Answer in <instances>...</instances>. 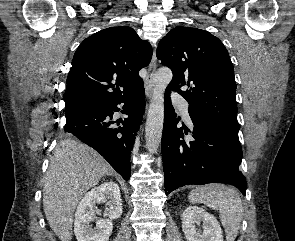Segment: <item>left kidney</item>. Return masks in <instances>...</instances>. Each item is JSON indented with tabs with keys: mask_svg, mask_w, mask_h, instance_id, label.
<instances>
[{
	"mask_svg": "<svg viewBox=\"0 0 295 241\" xmlns=\"http://www.w3.org/2000/svg\"><path fill=\"white\" fill-rule=\"evenodd\" d=\"M202 223V230L196 225ZM182 230L187 241H223L219 222L212 215L198 206H189L182 216Z\"/></svg>",
	"mask_w": 295,
	"mask_h": 241,
	"instance_id": "obj_1",
	"label": "left kidney"
}]
</instances>
